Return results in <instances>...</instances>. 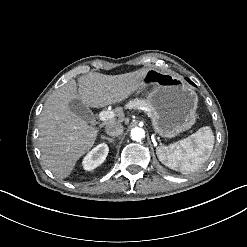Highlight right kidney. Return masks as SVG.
<instances>
[{
    "label": "right kidney",
    "mask_w": 247,
    "mask_h": 247,
    "mask_svg": "<svg viewBox=\"0 0 247 247\" xmlns=\"http://www.w3.org/2000/svg\"><path fill=\"white\" fill-rule=\"evenodd\" d=\"M109 147L105 143H101L94 147L83 159L82 166L84 170L91 171L100 166L106 159Z\"/></svg>",
    "instance_id": "obj_1"
}]
</instances>
